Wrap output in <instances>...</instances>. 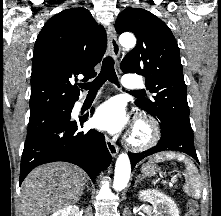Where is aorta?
<instances>
[{
  "label": "aorta",
  "mask_w": 221,
  "mask_h": 216,
  "mask_svg": "<svg viewBox=\"0 0 221 216\" xmlns=\"http://www.w3.org/2000/svg\"><path fill=\"white\" fill-rule=\"evenodd\" d=\"M119 43L124 50L132 49L136 44V39L132 34L125 33L119 37ZM131 173V164L127 154L122 153L118 156L116 165H115V173H114V181L113 188L116 191L123 190L130 178Z\"/></svg>",
  "instance_id": "1"
}]
</instances>
